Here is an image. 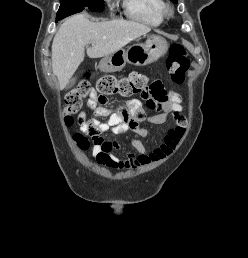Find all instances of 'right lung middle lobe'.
Wrapping results in <instances>:
<instances>
[{
    "mask_svg": "<svg viewBox=\"0 0 248 258\" xmlns=\"http://www.w3.org/2000/svg\"><path fill=\"white\" fill-rule=\"evenodd\" d=\"M84 9L102 12L104 9V0H60L56 21L81 12Z\"/></svg>",
    "mask_w": 248,
    "mask_h": 258,
    "instance_id": "1",
    "label": "right lung middle lobe"
}]
</instances>
